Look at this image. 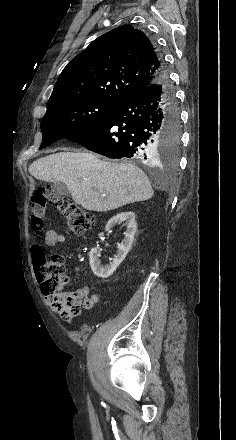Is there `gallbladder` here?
Instances as JSON below:
<instances>
[{
	"mask_svg": "<svg viewBox=\"0 0 236 440\" xmlns=\"http://www.w3.org/2000/svg\"><path fill=\"white\" fill-rule=\"evenodd\" d=\"M52 188L59 194V195H69V190L67 186L63 182H54L52 184Z\"/></svg>",
	"mask_w": 236,
	"mask_h": 440,
	"instance_id": "gallbladder-1",
	"label": "gallbladder"
}]
</instances>
